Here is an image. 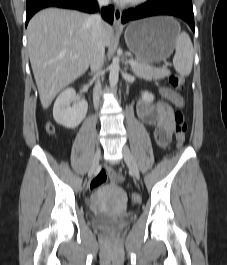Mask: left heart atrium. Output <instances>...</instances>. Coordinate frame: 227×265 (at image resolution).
Masks as SVG:
<instances>
[{
  "mask_svg": "<svg viewBox=\"0 0 227 265\" xmlns=\"http://www.w3.org/2000/svg\"><path fill=\"white\" fill-rule=\"evenodd\" d=\"M117 1L125 2V1H128V0H117Z\"/></svg>",
  "mask_w": 227,
  "mask_h": 265,
  "instance_id": "1",
  "label": "left heart atrium"
}]
</instances>
